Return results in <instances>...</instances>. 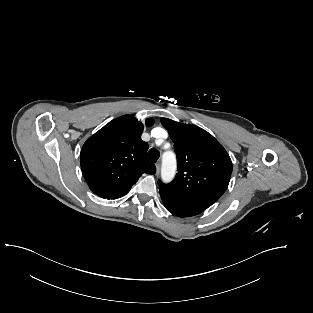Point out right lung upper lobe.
<instances>
[{
    "instance_id": "cb5924a9",
    "label": "right lung upper lobe",
    "mask_w": 313,
    "mask_h": 313,
    "mask_svg": "<svg viewBox=\"0 0 313 313\" xmlns=\"http://www.w3.org/2000/svg\"><path fill=\"white\" fill-rule=\"evenodd\" d=\"M152 118L145 125L152 126ZM144 125L130 115L118 117L92 135L80 154L81 170L89 188L110 198L131 189L143 173L155 174L146 159L148 143L141 139Z\"/></svg>"
}]
</instances>
